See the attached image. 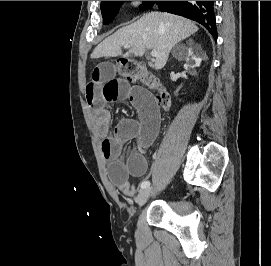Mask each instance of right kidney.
Listing matches in <instances>:
<instances>
[{
    "mask_svg": "<svg viewBox=\"0 0 271 266\" xmlns=\"http://www.w3.org/2000/svg\"><path fill=\"white\" fill-rule=\"evenodd\" d=\"M186 61L188 62V66L190 68H194V67L200 66L202 59L200 57L194 55L192 48H188L186 50Z\"/></svg>",
    "mask_w": 271,
    "mask_h": 266,
    "instance_id": "right-kidney-1",
    "label": "right kidney"
}]
</instances>
